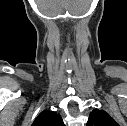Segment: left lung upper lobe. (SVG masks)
Masks as SVG:
<instances>
[{
    "mask_svg": "<svg viewBox=\"0 0 127 126\" xmlns=\"http://www.w3.org/2000/svg\"><path fill=\"white\" fill-rule=\"evenodd\" d=\"M87 126H119L104 110L94 109L87 122Z\"/></svg>",
    "mask_w": 127,
    "mask_h": 126,
    "instance_id": "1",
    "label": "left lung upper lobe"
}]
</instances>
